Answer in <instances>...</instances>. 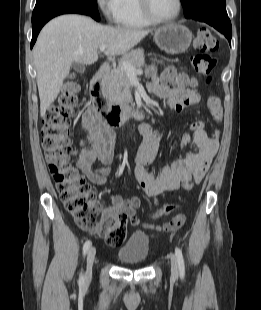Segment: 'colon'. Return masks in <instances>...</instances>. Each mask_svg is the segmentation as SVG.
Wrapping results in <instances>:
<instances>
[{"mask_svg":"<svg viewBox=\"0 0 261 310\" xmlns=\"http://www.w3.org/2000/svg\"><path fill=\"white\" fill-rule=\"evenodd\" d=\"M218 39L207 29H201L194 42L196 54L191 58L195 73L203 75L209 83L217 61L212 56L219 50ZM164 82L168 86L189 85L191 79L184 73L169 68L164 74ZM77 86L72 81L66 83L58 102L44 119L42 128V145L45 151L49 171L54 179L60 199L76 223L84 230L101 236L109 246L121 245L127 235L128 216L124 213L107 217L99 215L96 193L83 176L71 164L72 148L69 140L71 117L77 104ZM207 106L212 118L220 123L223 118L221 100L217 95L208 98ZM178 110V109H176ZM215 130L213 137H219ZM187 146V143L183 144ZM193 180H186L183 188L192 189ZM174 209L172 204L160 206L155 216H163ZM185 223V216L178 214L164 226V230L174 232Z\"/></svg>","mask_w":261,"mask_h":310,"instance_id":"5ec220e1","label":"colon"}]
</instances>
